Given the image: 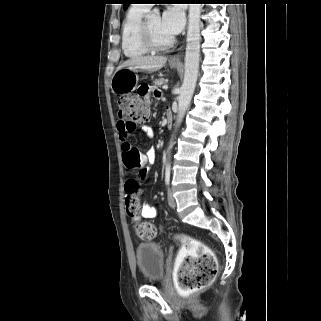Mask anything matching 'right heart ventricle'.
I'll return each mask as SVG.
<instances>
[{"label":"right heart ventricle","instance_id":"right-heart-ventricle-1","mask_svg":"<svg viewBox=\"0 0 321 321\" xmlns=\"http://www.w3.org/2000/svg\"><path fill=\"white\" fill-rule=\"evenodd\" d=\"M148 10L149 8L145 5H133L123 20L121 47L128 58H139L150 51L142 44L139 36L141 22Z\"/></svg>","mask_w":321,"mask_h":321}]
</instances>
